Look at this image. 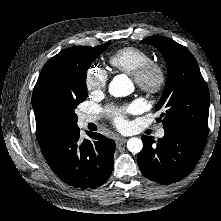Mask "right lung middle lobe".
<instances>
[{
  "instance_id": "obj_1",
  "label": "right lung middle lobe",
  "mask_w": 221,
  "mask_h": 221,
  "mask_svg": "<svg viewBox=\"0 0 221 221\" xmlns=\"http://www.w3.org/2000/svg\"><path fill=\"white\" fill-rule=\"evenodd\" d=\"M109 45L110 42L85 47L79 56L65 66L62 79L50 85L51 96L64 107L69 116L68 127L77 126L74 110L87 98L86 73L89 66Z\"/></svg>"
}]
</instances>
